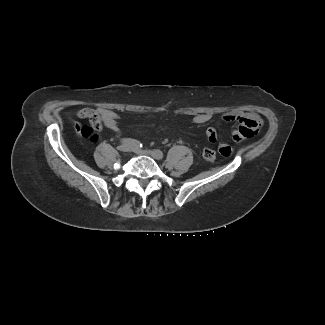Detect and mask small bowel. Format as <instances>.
Wrapping results in <instances>:
<instances>
[{"mask_svg": "<svg viewBox=\"0 0 325 325\" xmlns=\"http://www.w3.org/2000/svg\"><path fill=\"white\" fill-rule=\"evenodd\" d=\"M80 119L88 120V125H77L76 129L82 136L86 137L88 129L95 132L100 131L103 127L109 129L115 135L120 134L118 126V114L107 108H83L78 112ZM211 119L210 114L200 113L194 116L193 121L196 124H206ZM223 120L231 124L230 135L232 140L240 144L244 140L253 137L259 130L260 123L257 116L253 113L242 112L233 113L229 112L223 115ZM208 142L216 143L218 136L214 128H208L205 132ZM219 151L222 156L228 157L232 154V148L226 143H219Z\"/></svg>", "mask_w": 325, "mask_h": 325, "instance_id": "small-bowel-1", "label": "small bowel"}]
</instances>
